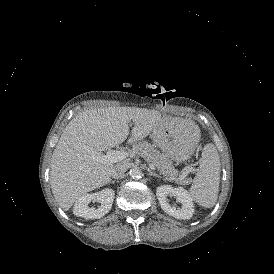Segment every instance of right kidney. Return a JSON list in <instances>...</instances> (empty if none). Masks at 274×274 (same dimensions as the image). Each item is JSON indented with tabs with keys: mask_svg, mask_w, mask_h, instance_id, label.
<instances>
[{
	"mask_svg": "<svg viewBox=\"0 0 274 274\" xmlns=\"http://www.w3.org/2000/svg\"><path fill=\"white\" fill-rule=\"evenodd\" d=\"M115 192L112 188H106L99 192L87 194L81 197L74 206V214L85 219H99L105 216L111 209ZM101 202L98 209L88 205L91 202Z\"/></svg>",
	"mask_w": 274,
	"mask_h": 274,
	"instance_id": "1",
	"label": "right kidney"
}]
</instances>
